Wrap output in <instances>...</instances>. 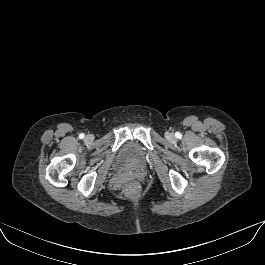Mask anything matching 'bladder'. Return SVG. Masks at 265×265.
<instances>
[{"instance_id": "bladder-1", "label": "bladder", "mask_w": 265, "mask_h": 265, "mask_svg": "<svg viewBox=\"0 0 265 265\" xmlns=\"http://www.w3.org/2000/svg\"><path fill=\"white\" fill-rule=\"evenodd\" d=\"M147 161V153L138 142H128L120 150L118 162L121 167H133L144 164Z\"/></svg>"}]
</instances>
